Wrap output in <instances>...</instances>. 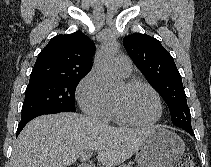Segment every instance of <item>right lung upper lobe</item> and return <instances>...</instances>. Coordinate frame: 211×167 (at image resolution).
Wrapping results in <instances>:
<instances>
[{
  "label": "right lung upper lobe",
  "mask_w": 211,
  "mask_h": 167,
  "mask_svg": "<svg viewBox=\"0 0 211 167\" xmlns=\"http://www.w3.org/2000/svg\"><path fill=\"white\" fill-rule=\"evenodd\" d=\"M94 43L82 32L53 37L39 53L30 81L84 77L92 68Z\"/></svg>",
  "instance_id": "1"
}]
</instances>
